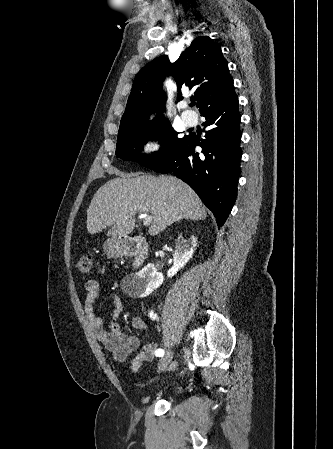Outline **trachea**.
Segmentation results:
<instances>
[{
	"instance_id": "1",
	"label": "trachea",
	"mask_w": 333,
	"mask_h": 449,
	"mask_svg": "<svg viewBox=\"0 0 333 449\" xmlns=\"http://www.w3.org/2000/svg\"><path fill=\"white\" fill-rule=\"evenodd\" d=\"M196 103H195V99L193 98V99H191V103H190V106L192 107V106H194Z\"/></svg>"
}]
</instances>
